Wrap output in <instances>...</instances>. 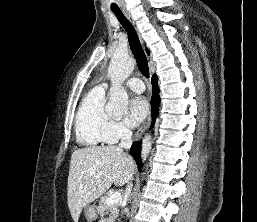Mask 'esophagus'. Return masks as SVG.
<instances>
[{
  "label": "esophagus",
  "mask_w": 257,
  "mask_h": 222,
  "mask_svg": "<svg viewBox=\"0 0 257 222\" xmlns=\"http://www.w3.org/2000/svg\"><path fill=\"white\" fill-rule=\"evenodd\" d=\"M124 15L126 16V18L129 20V22L134 26V28L136 29L137 33H138V36L139 38L141 39L142 41V38H141V34L138 30V27L136 25V22L135 20L132 18L131 14L128 13V12H124ZM150 122H151V114L149 113V115L147 116V118L145 119V121L143 122V124L140 126V128L137 130V132L135 133V136H134V140H138L142 135L143 133L145 132V130L149 127L150 125Z\"/></svg>",
  "instance_id": "1"
}]
</instances>
